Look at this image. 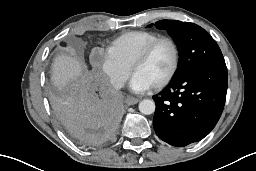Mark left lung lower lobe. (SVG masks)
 <instances>
[{
    "mask_svg": "<svg viewBox=\"0 0 256 171\" xmlns=\"http://www.w3.org/2000/svg\"><path fill=\"white\" fill-rule=\"evenodd\" d=\"M226 92L225 64L196 67L172 79L153 96L156 134L176 147L203 139L221 116Z\"/></svg>",
    "mask_w": 256,
    "mask_h": 171,
    "instance_id": "obj_1",
    "label": "left lung lower lobe"
}]
</instances>
